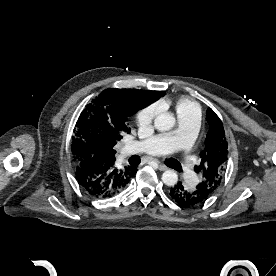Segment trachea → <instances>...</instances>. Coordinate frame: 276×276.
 Returning <instances> with one entry per match:
<instances>
[{"label": "trachea", "instance_id": "obj_1", "mask_svg": "<svg viewBox=\"0 0 276 276\" xmlns=\"http://www.w3.org/2000/svg\"><path fill=\"white\" fill-rule=\"evenodd\" d=\"M128 161L131 165L138 166L140 164L141 158L138 155H133L129 158ZM165 164L168 167H171V168H173L175 170H178V171L182 169L181 164L176 159H173V158L167 159L165 161Z\"/></svg>", "mask_w": 276, "mask_h": 276}]
</instances>
